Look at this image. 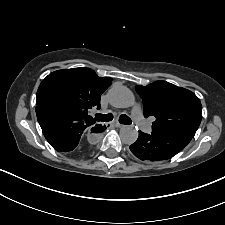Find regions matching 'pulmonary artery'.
I'll use <instances>...</instances> for the list:
<instances>
[{
    "label": "pulmonary artery",
    "mask_w": 225,
    "mask_h": 225,
    "mask_svg": "<svg viewBox=\"0 0 225 225\" xmlns=\"http://www.w3.org/2000/svg\"><path fill=\"white\" fill-rule=\"evenodd\" d=\"M131 114L135 122L144 132L150 133L152 131L150 124L144 118L142 110L139 106L133 107Z\"/></svg>",
    "instance_id": "obj_1"
}]
</instances>
